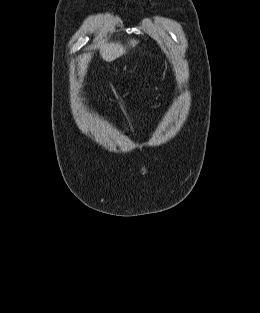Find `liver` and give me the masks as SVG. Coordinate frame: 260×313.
I'll use <instances>...</instances> for the list:
<instances>
[{"label":"liver","instance_id":"6515ba94","mask_svg":"<svg viewBox=\"0 0 260 313\" xmlns=\"http://www.w3.org/2000/svg\"><path fill=\"white\" fill-rule=\"evenodd\" d=\"M136 44H137L136 40L130 41V46L133 47ZM125 52H126V47H124L120 43H115V42L105 44L100 50L102 59L107 62L114 61L118 57L122 56Z\"/></svg>","mask_w":260,"mask_h":313}]
</instances>
